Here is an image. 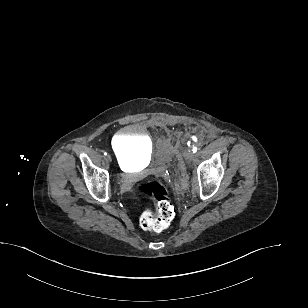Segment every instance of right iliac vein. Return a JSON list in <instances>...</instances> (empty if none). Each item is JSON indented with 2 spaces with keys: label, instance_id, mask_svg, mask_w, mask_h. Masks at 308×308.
<instances>
[{
  "label": "right iliac vein",
  "instance_id": "right-iliac-vein-1",
  "mask_svg": "<svg viewBox=\"0 0 308 308\" xmlns=\"http://www.w3.org/2000/svg\"><path fill=\"white\" fill-rule=\"evenodd\" d=\"M107 159H108L109 161H111V160H112V158H111V156H110V155H107Z\"/></svg>",
  "mask_w": 308,
  "mask_h": 308
}]
</instances>
